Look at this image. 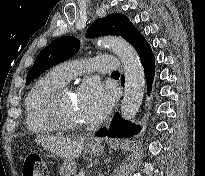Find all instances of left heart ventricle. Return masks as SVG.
<instances>
[{"label": "left heart ventricle", "mask_w": 205, "mask_h": 176, "mask_svg": "<svg viewBox=\"0 0 205 176\" xmlns=\"http://www.w3.org/2000/svg\"><path fill=\"white\" fill-rule=\"evenodd\" d=\"M60 112L62 116L68 121L77 123L86 122V119L84 118L78 106L77 99L72 93L65 95L60 100Z\"/></svg>", "instance_id": "b2bd125f"}]
</instances>
